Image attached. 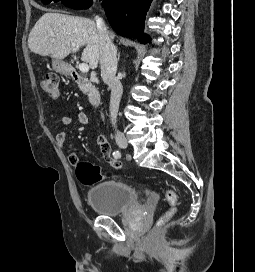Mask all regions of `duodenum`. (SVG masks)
<instances>
[{"instance_id": "duodenum-1", "label": "duodenum", "mask_w": 255, "mask_h": 272, "mask_svg": "<svg viewBox=\"0 0 255 272\" xmlns=\"http://www.w3.org/2000/svg\"><path fill=\"white\" fill-rule=\"evenodd\" d=\"M70 76L76 83L88 88L87 98L89 103L95 108L99 107L102 103V96L98 90L91 86L89 80L79 74L75 69H70Z\"/></svg>"}]
</instances>
